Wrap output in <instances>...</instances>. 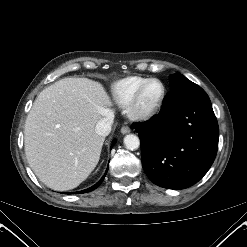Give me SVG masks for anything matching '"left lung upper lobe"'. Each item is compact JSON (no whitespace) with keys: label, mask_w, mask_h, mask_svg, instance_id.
<instances>
[{"label":"left lung upper lobe","mask_w":247,"mask_h":247,"mask_svg":"<svg viewBox=\"0 0 247 247\" xmlns=\"http://www.w3.org/2000/svg\"><path fill=\"white\" fill-rule=\"evenodd\" d=\"M169 82L171 90L192 87L196 85L180 73L171 75Z\"/></svg>","instance_id":"1"}]
</instances>
